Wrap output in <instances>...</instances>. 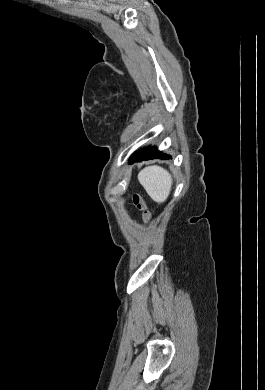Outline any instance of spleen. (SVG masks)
<instances>
[{"instance_id":"3e777b00","label":"spleen","mask_w":265,"mask_h":390,"mask_svg":"<svg viewBox=\"0 0 265 390\" xmlns=\"http://www.w3.org/2000/svg\"><path fill=\"white\" fill-rule=\"evenodd\" d=\"M138 180L155 202L162 203L169 196L172 177L164 168L148 166L139 172Z\"/></svg>"}]
</instances>
